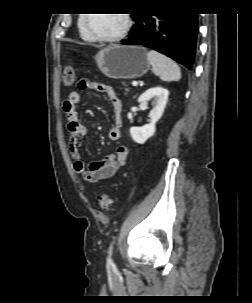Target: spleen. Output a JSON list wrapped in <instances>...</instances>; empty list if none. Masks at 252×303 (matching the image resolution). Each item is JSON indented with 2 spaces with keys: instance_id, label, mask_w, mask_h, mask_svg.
Listing matches in <instances>:
<instances>
[{
  "instance_id": "3e777b00",
  "label": "spleen",
  "mask_w": 252,
  "mask_h": 303,
  "mask_svg": "<svg viewBox=\"0 0 252 303\" xmlns=\"http://www.w3.org/2000/svg\"><path fill=\"white\" fill-rule=\"evenodd\" d=\"M148 60L152 65V70L162 81H179L181 70L179 66L170 58L151 50L147 53Z\"/></svg>"
}]
</instances>
